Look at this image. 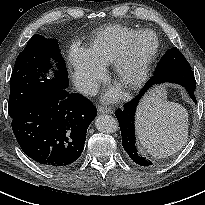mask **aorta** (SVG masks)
Instances as JSON below:
<instances>
[{"mask_svg":"<svg viewBox=\"0 0 205 205\" xmlns=\"http://www.w3.org/2000/svg\"><path fill=\"white\" fill-rule=\"evenodd\" d=\"M95 126L98 131L109 134L114 133L117 130L118 122L114 117L110 115H101L97 117Z\"/></svg>","mask_w":205,"mask_h":205,"instance_id":"obj_1","label":"aorta"}]
</instances>
